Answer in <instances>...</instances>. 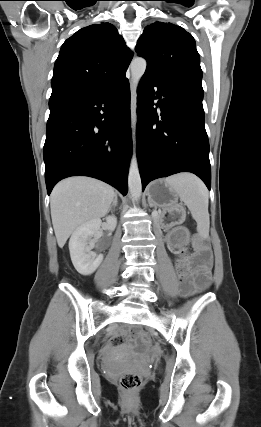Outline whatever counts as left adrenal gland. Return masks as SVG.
Masks as SVG:
<instances>
[{
  "label": "left adrenal gland",
  "instance_id": "obj_1",
  "mask_svg": "<svg viewBox=\"0 0 261 427\" xmlns=\"http://www.w3.org/2000/svg\"><path fill=\"white\" fill-rule=\"evenodd\" d=\"M149 206L152 207L153 205L151 203H149Z\"/></svg>",
  "mask_w": 261,
  "mask_h": 427
}]
</instances>
